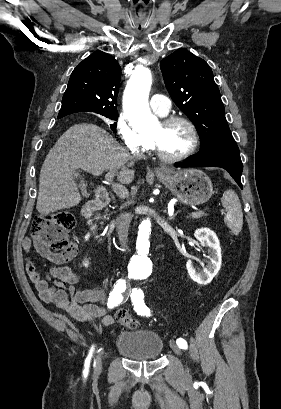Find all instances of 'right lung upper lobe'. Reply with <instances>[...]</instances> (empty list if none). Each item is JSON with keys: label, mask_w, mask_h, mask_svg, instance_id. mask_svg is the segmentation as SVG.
<instances>
[{"label": "right lung upper lobe", "mask_w": 281, "mask_h": 409, "mask_svg": "<svg viewBox=\"0 0 281 409\" xmlns=\"http://www.w3.org/2000/svg\"><path fill=\"white\" fill-rule=\"evenodd\" d=\"M120 77L121 68L112 56L92 53L72 72L58 119L76 112L118 113Z\"/></svg>", "instance_id": "cb5924a9"}]
</instances>
